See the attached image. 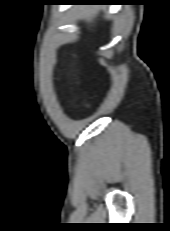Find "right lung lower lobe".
I'll use <instances>...</instances> for the list:
<instances>
[{"mask_svg": "<svg viewBox=\"0 0 170 231\" xmlns=\"http://www.w3.org/2000/svg\"><path fill=\"white\" fill-rule=\"evenodd\" d=\"M76 1H83V2H109L112 0H76Z\"/></svg>", "mask_w": 170, "mask_h": 231, "instance_id": "1", "label": "right lung lower lobe"}]
</instances>
